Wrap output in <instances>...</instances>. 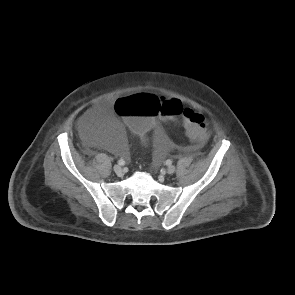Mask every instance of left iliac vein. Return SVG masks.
Segmentation results:
<instances>
[{
	"instance_id": "1",
	"label": "left iliac vein",
	"mask_w": 295,
	"mask_h": 295,
	"mask_svg": "<svg viewBox=\"0 0 295 295\" xmlns=\"http://www.w3.org/2000/svg\"><path fill=\"white\" fill-rule=\"evenodd\" d=\"M176 170V167L174 165H169L167 168V173L168 174H173Z\"/></svg>"
}]
</instances>
